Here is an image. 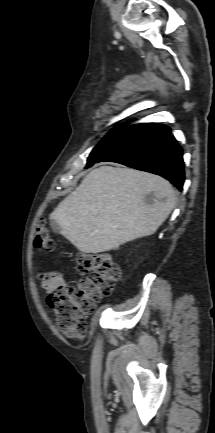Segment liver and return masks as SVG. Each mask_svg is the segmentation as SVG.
<instances>
[{
    "mask_svg": "<svg viewBox=\"0 0 215 433\" xmlns=\"http://www.w3.org/2000/svg\"><path fill=\"white\" fill-rule=\"evenodd\" d=\"M147 195L152 197L148 203ZM175 204V191L166 179L102 166L85 176L50 219L79 251L96 254L154 234Z\"/></svg>",
    "mask_w": 215,
    "mask_h": 433,
    "instance_id": "obj_1",
    "label": "liver"
}]
</instances>
